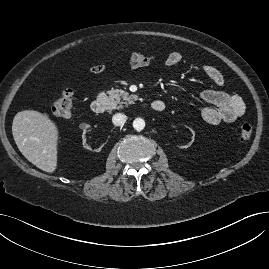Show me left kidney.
<instances>
[{
	"label": "left kidney",
	"instance_id": "left-kidney-1",
	"mask_svg": "<svg viewBox=\"0 0 269 269\" xmlns=\"http://www.w3.org/2000/svg\"><path fill=\"white\" fill-rule=\"evenodd\" d=\"M189 129V131H190V133H188V135H190L191 136V142L189 143V144H187V145H182V146H179L180 148H188L191 144H192V142L194 141V137H195V132L191 129V128H188Z\"/></svg>",
	"mask_w": 269,
	"mask_h": 269
}]
</instances>
